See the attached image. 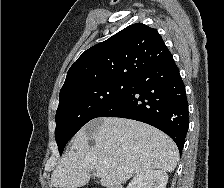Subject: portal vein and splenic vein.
I'll use <instances>...</instances> for the list:
<instances>
[{
  "label": "portal vein and splenic vein",
  "instance_id": "obj_1",
  "mask_svg": "<svg viewBox=\"0 0 224 188\" xmlns=\"http://www.w3.org/2000/svg\"><path fill=\"white\" fill-rule=\"evenodd\" d=\"M96 176L97 177H102L103 176V171L102 170H97L96 171Z\"/></svg>",
  "mask_w": 224,
  "mask_h": 188
}]
</instances>
